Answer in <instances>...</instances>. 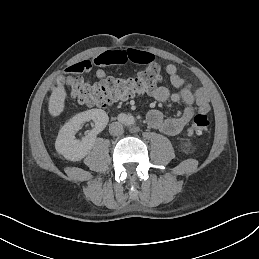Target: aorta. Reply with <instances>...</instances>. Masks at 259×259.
Returning <instances> with one entry per match:
<instances>
[{
    "instance_id": "aorta-1",
    "label": "aorta",
    "mask_w": 259,
    "mask_h": 259,
    "mask_svg": "<svg viewBox=\"0 0 259 259\" xmlns=\"http://www.w3.org/2000/svg\"><path fill=\"white\" fill-rule=\"evenodd\" d=\"M135 122V119L133 116L131 115H127L124 120H123V123L127 126H130V125H133Z\"/></svg>"
}]
</instances>
